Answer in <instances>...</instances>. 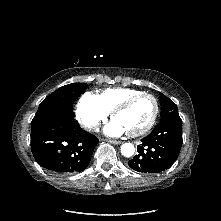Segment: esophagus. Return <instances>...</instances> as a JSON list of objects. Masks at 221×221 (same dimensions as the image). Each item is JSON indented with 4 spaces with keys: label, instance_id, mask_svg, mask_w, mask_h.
<instances>
[{
    "label": "esophagus",
    "instance_id": "esophagus-1",
    "mask_svg": "<svg viewBox=\"0 0 221 221\" xmlns=\"http://www.w3.org/2000/svg\"><path fill=\"white\" fill-rule=\"evenodd\" d=\"M102 141H106V142H109V143L114 144V145L121 144V141H118V140L102 139Z\"/></svg>",
    "mask_w": 221,
    "mask_h": 221
}]
</instances>
